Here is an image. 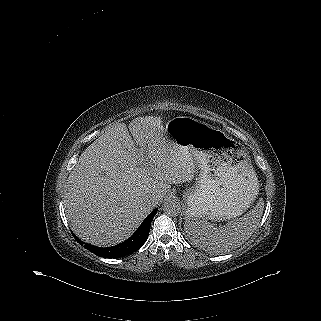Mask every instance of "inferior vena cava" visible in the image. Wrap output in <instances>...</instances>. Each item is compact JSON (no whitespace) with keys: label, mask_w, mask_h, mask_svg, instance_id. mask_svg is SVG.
Here are the masks:
<instances>
[{"label":"inferior vena cava","mask_w":321,"mask_h":321,"mask_svg":"<svg viewBox=\"0 0 321 321\" xmlns=\"http://www.w3.org/2000/svg\"><path fill=\"white\" fill-rule=\"evenodd\" d=\"M154 201H155V199L152 198V197H150V198L147 200L148 204H153Z\"/></svg>","instance_id":"1"}]
</instances>
